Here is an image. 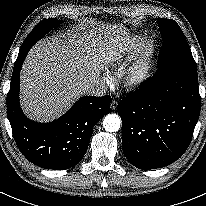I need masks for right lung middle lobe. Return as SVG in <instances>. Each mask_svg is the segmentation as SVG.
Returning a JSON list of instances; mask_svg holds the SVG:
<instances>
[{"label":"right lung middle lobe","mask_w":206,"mask_h":206,"mask_svg":"<svg viewBox=\"0 0 206 206\" xmlns=\"http://www.w3.org/2000/svg\"><path fill=\"white\" fill-rule=\"evenodd\" d=\"M61 21L55 20L53 18L45 19L39 22L27 36L22 46L26 44H34L37 40L42 38L46 32L52 30L53 28L59 27Z\"/></svg>","instance_id":"1"}]
</instances>
